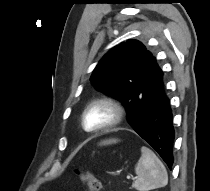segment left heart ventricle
<instances>
[{
	"mask_svg": "<svg viewBox=\"0 0 210 191\" xmlns=\"http://www.w3.org/2000/svg\"><path fill=\"white\" fill-rule=\"evenodd\" d=\"M113 118L112 110L105 105L90 108L85 115L87 129H96L109 123Z\"/></svg>",
	"mask_w": 210,
	"mask_h": 191,
	"instance_id": "obj_1",
	"label": "left heart ventricle"
}]
</instances>
